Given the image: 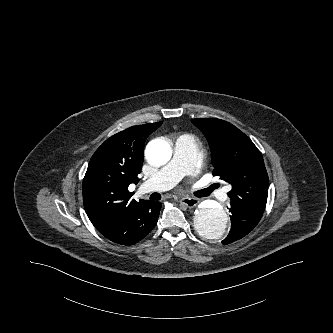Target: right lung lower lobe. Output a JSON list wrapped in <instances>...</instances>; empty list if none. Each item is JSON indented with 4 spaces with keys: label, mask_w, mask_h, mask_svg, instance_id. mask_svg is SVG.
<instances>
[{
    "label": "right lung lower lobe",
    "mask_w": 333,
    "mask_h": 333,
    "mask_svg": "<svg viewBox=\"0 0 333 333\" xmlns=\"http://www.w3.org/2000/svg\"><path fill=\"white\" fill-rule=\"evenodd\" d=\"M160 210L161 203L141 200L101 234L114 243L133 245L146 237L156 226Z\"/></svg>",
    "instance_id": "1"
}]
</instances>
